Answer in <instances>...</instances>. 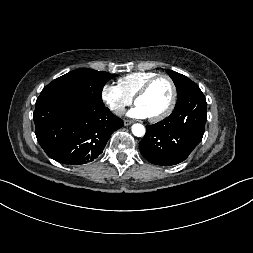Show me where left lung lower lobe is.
<instances>
[{
    "label": "left lung lower lobe",
    "instance_id": "obj_1",
    "mask_svg": "<svg viewBox=\"0 0 253 253\" xmlns=\"http://www.w3.org/2000/svg\"><path fill=\"white\" fill-rule=\"evenodd\" d=\"M206 120V99L195 84L177 101L169 117L147 126L139 143L142 156L150 163L163 166L186 160L201 142Z\"/></svg>",
    "mask_w": 253,
    "mask_h": 253
}]
</instances>
